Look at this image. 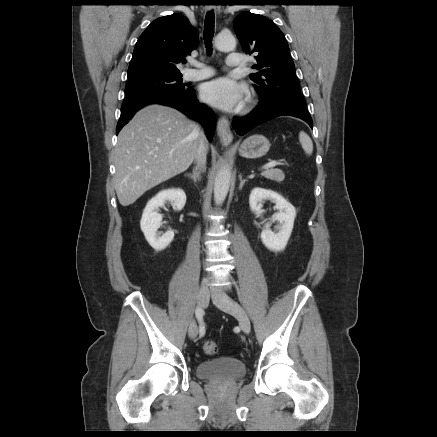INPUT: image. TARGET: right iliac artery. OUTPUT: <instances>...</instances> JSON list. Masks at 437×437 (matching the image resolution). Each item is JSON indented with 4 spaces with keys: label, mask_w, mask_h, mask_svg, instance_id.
Masks as SVG:
<instances>
[{
    "label": "right iliac artery",
    "mask_w": 437,
    "mask_h": 437,
    "mask_svg": "<svg viewBox=\"0 0 437 437\" xmlns=\"http://www.w3.org/2000/svg\"><path fill=\"white\" fill-rule=\"evenodd\" d=\"M203 314H204L203 309L198 307L195 311V315H196L198 322L200 323V325H199L200 336H203L205 334V326L203 325V322H202L203 321Z\"/></svg>",
    "instance_id": "82829eb1"
}]
</instances>
